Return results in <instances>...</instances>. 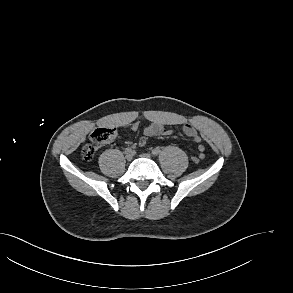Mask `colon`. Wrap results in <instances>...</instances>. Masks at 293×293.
Wrapping results in <instances>:
<instances>
[{
    "mask_svg": "<svg viewBox=\"0 0 293 293\" xmlns=\"http://www.w3.org/2000/svg\"><path fill=\"white\" fill-rule=\"evenodd\" d=\"M116 137V130L113 127H99L95 129L91 136L90 141L83 146L81 150V155L84 160L92 161L99 149L100 146L110 143ZM204 154H199V157H194L193 161L198 162L199 159H202Z\"/></svg>",
    "mask_w": 293,
    "mask_h": 293,
    "instance_id": "1",
    "label": "colon"
}]
</instances>
